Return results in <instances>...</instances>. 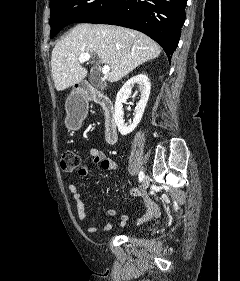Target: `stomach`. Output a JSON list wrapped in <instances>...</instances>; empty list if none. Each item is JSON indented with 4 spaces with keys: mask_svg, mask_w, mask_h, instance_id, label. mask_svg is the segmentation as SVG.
Returning <instances> with one entry per match:
<instances>
[{
    "mask_svg": "<svg viewBox=\"0 0 240 281\" xmlns=\"http://www.w3.org/2000/svg\"><path fill=\"white\" fill-rule=\"evenodd\" d=\"M85 114V106L78 98V89H74L70 94L66 104V126L71 130L77 129L84 119Z\"/></svg>",
    "mask_w": 240,
    "mask_h": 281,
    "instance_id": "1",
    "label": "stomach"
}]
</instances>
